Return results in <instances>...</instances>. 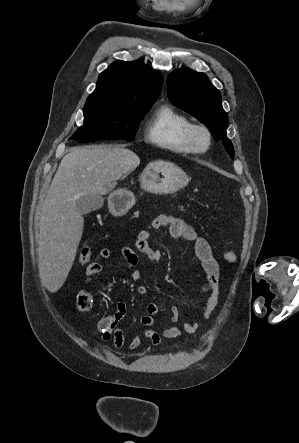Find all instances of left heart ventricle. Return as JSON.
<instances>
[{
    "instance_id": "obj_1",
    "label": "left heart ventricle",
    "mask_w": 299,
    "mask_h": 443,
    "mask_svg": "<svg viewBox=\"0 0 299 443\" xmlns=\"http://www.w3.org/2000/svg\"><path fill=\"white\" fill-rule=\"evenodd\" d=\"M199 142H200L201 145H204L205 144V139L203 137H200Z\"/></svg>"
}]
</instances>
